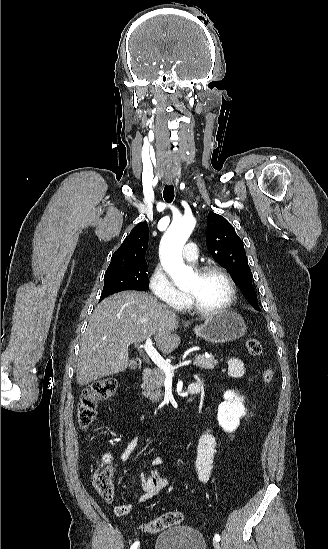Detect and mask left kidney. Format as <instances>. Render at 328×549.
<instances>
[{
    "mask_svg": "<svg viewBox=\"0 0 328 549\" xmlns=\"http://www.w3.org/2000/svg\"><path fill=\"white\" fill-rule=\"evenodd\" d=\"M224 403L218 407V423L225 433H232L239 425L240 417L246 415L243 397H238L234 391H226L223 395Z\"/></svg>",
    "mask_w": 328,
    "mask_h": 549,
    "instance_id": "1",
    "label": "left kidney"
}]
</instances>
